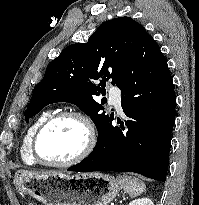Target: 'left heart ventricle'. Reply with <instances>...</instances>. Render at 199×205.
<instances>
[{"label":"left heart ventricle","mask_w":199,"mask_h":205,"mask_svg":"<svg viewBox=\"0 0 199 205\" xmlns=\"http://www.w3.org/2000/svg\"><path fill=\"white\" fill-rule=\"evenodd\" d=\"M86 130L74 118H63L52 123L39 137L38 151L50 162H62L77 155L83 148Z\"/></svg>","instance_id":"obj_1"}]
</instances>
